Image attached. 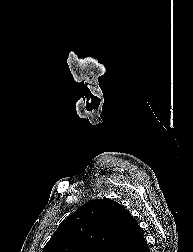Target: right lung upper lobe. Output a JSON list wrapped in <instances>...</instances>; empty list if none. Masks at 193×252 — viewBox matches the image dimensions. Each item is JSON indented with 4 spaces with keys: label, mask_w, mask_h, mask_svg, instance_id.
Returning a JSON list of instances; mask_svg holds the SVG:
<instances>
[{
    "label": "right lung upper lobe",
    "mask_w": 193,
    "mask_h": 252,
    "mask_svg": "<svg viewBox=\"0 0 193 252\" xmlns=\"http://www.w3.org/2000/svg\"><path fill=\"white\" fill-rule=\"evenodd\" d=\"M142 238L138 223L119 203L95 199L60 224L43 252H131Z\"/></svg>",
    "instance_id": "obj_1"
}]
</instances>
